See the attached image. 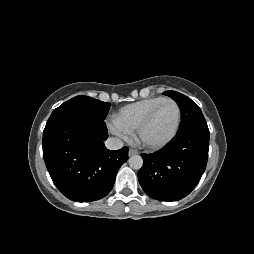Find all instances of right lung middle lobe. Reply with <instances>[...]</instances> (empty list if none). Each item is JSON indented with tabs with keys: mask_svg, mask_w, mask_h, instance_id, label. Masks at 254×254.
<instances>
[{
	"mask_svg": "<svg viewBox=\"0 0 254 254\" xmlns=\"http://www.w3.org/2000/svg\"><path fill=\"white\" fill-rule=\"evenodd\" d=\"M109 109L110 103L102 102L88 96L80 95L70 99L58 108L54 109L51 115L65 111H71L104 120L107 116Z\"/></svg>",
	"mask_w": 254,
	"mask_h": 254,
	"instance_id": "right-lung-middle-lobe-1",
	"label": "right lung middle lobe"
}]
</instances>
